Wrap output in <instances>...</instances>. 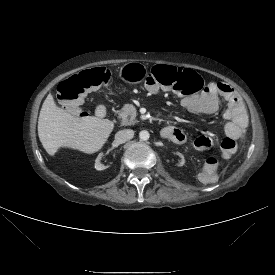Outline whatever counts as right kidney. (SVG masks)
<instances>
[{
    "label": "right kidney",
    "mask_w": 275,
    "mask_h": 275,
    "mask_svg": "<svg viewBox=\"0 0 275 275\" xmlns=\"http://www.w3.org/2000/svg\"><path fill=\"white\" fill-rule=\"evenodd\" d=\"M114 159V155L110 152L99 153L95 161V169L99 171L106 169L114 162Z\"/></svg>",
    "instance_id": "ca27d5eb"
}]
</instances>
